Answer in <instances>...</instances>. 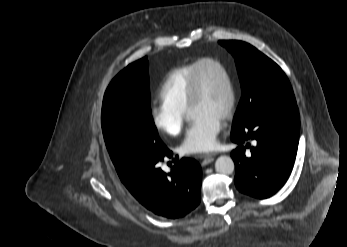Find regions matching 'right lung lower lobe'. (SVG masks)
Segmentation results:
<instances>
[{"label":"right lung lower lobe","instance_id":"obj_1","mask_svg":"<svg viewBox=\"0 0 347 247\" xmlns=\"http://www.w3.org/2000/svg\"><path fill=\"white\" fill-rule=\"evenodd\" d=\"M164 157H172L167 147L162 154H136L115 167L123 184L142 205L157 215L175 219L199 205L202 171L195 160L182 158L170 173H165L157 166Z\"/></svg>","mask_w":347,"mask_h":247}]
</instances>
